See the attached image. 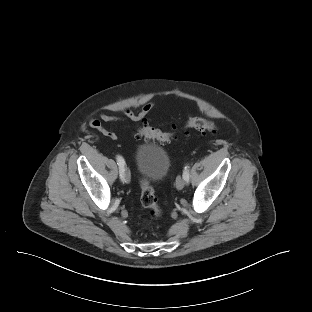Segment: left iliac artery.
I'll return each mask as SVG.
<instances>
[{
  "label": "left iliac artery",
  "mask_w": 312,
  "mask_h": 312,
  "mask_svg": "<svg viewBox=\"0 0 312 312\" xmlns=\"http://www.w3.org/2000/svg\"><path fill=\"white\" fill-rule=\"evenodd\" d=\"M183 178L185 181H189L190 174H189V166H185L183 170Z\"/></svg>",
  "instance_id": "44dca946"
}]
</instances>
